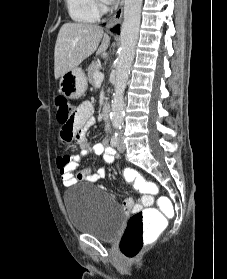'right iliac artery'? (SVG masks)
Returning <instances> with one entry per match:
<instances>
[{"mask_svg": "<svg viewBox=\"0 0 227 279\" xmlns=\"http://www.w3.org/2000/svg\"><path fill=\"white\" fill-rule=\"evenodd\" d=\"M111 145L116 147L118 145V133L115 132L111 138Z\"/></svg>", "mask_w": 227, "mask_h": 279, "instance_id": "1", "label": "right iliac artery"}]
</instances>
